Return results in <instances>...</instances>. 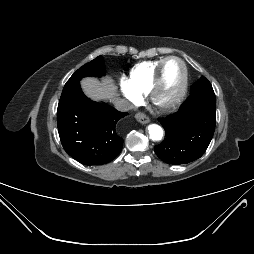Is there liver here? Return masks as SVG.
I'll use <instances>...</instances> for the list:
<instances>
[{
  "instance_id": "1",
  "label": "liver",
  "mask_w": 254,
  "mask_h": 254,
  "mask_svg": "<svg viewBox=\"0 0 254 254\" xmlns=\"http://www.w3.org/2000/svg\"><path fill=\"white\" fill-rule=\"evenodd\" d=\"M81 86L85 94L92 99L114 100L115 98L116 87L111 79L99 82L95 78L88 77L81 81Z\"/></svg>"
}]
</instances>
